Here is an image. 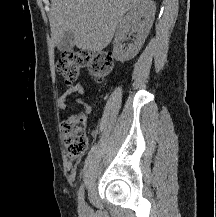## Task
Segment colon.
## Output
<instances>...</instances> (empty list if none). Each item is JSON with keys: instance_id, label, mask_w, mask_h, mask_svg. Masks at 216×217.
<instances>
[{"instance_id": "colon-1", "label": "colon", "mask_w": 216, "mask_h": 217, "mask_svg": "<svg viewBox=\"0 0 216 217\" xmlns=\"http://www.w3.org/2000/svg\"><path fill=\"white\" fill-rule=\"evenodd\" d=\"M87 66L95 81H103L113 69V57L108 52L88 54L81 50H67L57 60L56 69L68 85L74 84L81 70ZM67 153L71 158L80 157L88 148L86 118L72 115L61 125Z\"/></svg>"}]
</instances>
